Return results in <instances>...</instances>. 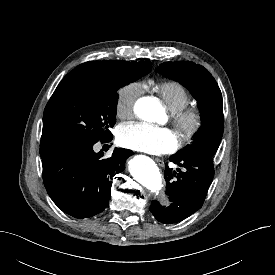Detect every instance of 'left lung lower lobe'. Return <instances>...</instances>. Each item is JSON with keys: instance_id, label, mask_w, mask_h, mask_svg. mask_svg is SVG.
Wrapping results in <instances>:
<instances>
[{"instance_id": "obj_1", "label": "left lung lower lobe", "mask_w": 275, "mask_h": 275, "mask_svg": "<svg viewBox=\"0 0 275 275\" xmlns=\"http://www.w3.org/2000/svg\"><path fill=\"white\" fill-rule=\"evenodd\" d=\"M169 160L185 170L177 169L176 172L166 164V195L172 203L165 208L158 201H153L150 206L154 217L162 223L182 221L200 209L214 177L211 155H172Z\"/></svg>"}]
</instances>
